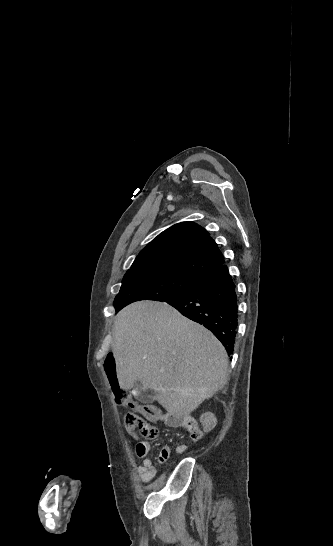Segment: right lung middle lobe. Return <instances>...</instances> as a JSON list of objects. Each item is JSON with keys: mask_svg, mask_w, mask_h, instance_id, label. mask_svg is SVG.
Listing matches in <instances>:
<instances>
[{"mask_svg": "<svg viewBox=\"0 0 333 546\" xmlns=\"http://www.w3.org/2000/svg\"><path fill=\"white\" fill-rule=\"evenodd\" d=\"M199 282L200 279L168 272L125 275L121 289L115 297L114 307L118 312L126 305L138 300L164 301L191 291Z\"/></svg>", "mask_w": 333, "mask_h": 546, "instance_id": "dd1d6c3e", "label": "right lung middle lobe"}]
</instances>
